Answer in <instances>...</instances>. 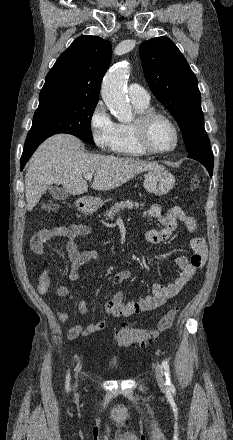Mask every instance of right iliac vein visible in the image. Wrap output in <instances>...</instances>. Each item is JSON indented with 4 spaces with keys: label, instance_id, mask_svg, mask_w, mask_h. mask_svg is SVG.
<instances>
[{
    "label": "right iliac vein",
    "instance_id": "63e3f726",
    "mask_svg": "<svg viewBox=\"0 0 233 440\" xmlns=\"http://www.w3.org/2000/svg\"><path fill=\"white\" fill-rule=\"evenodd\" d=\"M77 386H78V383H77V378H76V381H75V384H74V388L77 389Z\"/></svg>",
    "mask_w": 233,
    "mask_h": 440
}]
</instances>
